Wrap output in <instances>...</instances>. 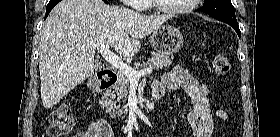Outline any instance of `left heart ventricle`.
<instances>
[{
	"instance_id": "b2bd125f",
	"label": "left heart ventricle",
	"mask_w": 280,
	"mask_h": 137,
	"mask_svg": "<svg viewBox=\"0 0 280 137\" xmlns=\"http://www.w3.org/2000/svg\"><path fill=\"white\" fill-rule=\"evenodd\" d=\"M168 8H177L188 4V0H160Z\"/></svg>"
}]
</instances>
